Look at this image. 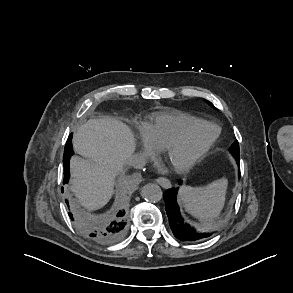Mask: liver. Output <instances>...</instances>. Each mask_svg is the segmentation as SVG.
Instances as JSON below:
<instances>
[{
    "label": "liver",
    "mask_w": 293,
    "mask_h": 293,
    "mask_svg": "<svg viewBox=\"0 0 293 293\" xmlns=\"http://www.w3.org/2000/svg\"><path fill=\"white\" fill-rule=\"evenodd\" d=\"M76 153L70 160L71 191L89 210L110 200L114 180L135 150L133 134L125 124L113 119H90L73 136Z\"/></svg>",
    "instance_id": "obj_1"
}]
</instances>
